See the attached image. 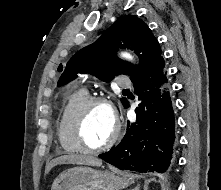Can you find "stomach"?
I'll return each mask as SVG.
<instances>
[{
	"label": "stomach",
	"instance_id": "obj_1",
	"mask_svg": "<svg viewBox=\"0 0 221 190\" xmlns=\"http://www.w3.org/2000/svg\"><path fill=\"white\" fill-rule=\"evenodd\" d=\"M132 183L134 179L131 176L79 166L59 174L51 190H121Z\"/></svg>",
	"mask_w": 221,
	"mask_h": 190
}]
</instances>
